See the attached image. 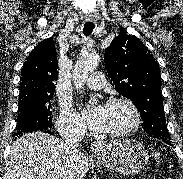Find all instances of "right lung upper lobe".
Wrapping results in <instances>:
<instances>
[{"label":"right lung upper lobe","mask_w":183,"mask_h":179,"mask_svg":"<svg viewBox=\"0 0 183 179\" xmlns=\"http://www.w3.org/2000/svg\"><path fill=\"white\" fill-rule=\"evenodd\" d=\"M58 61L53 38L40 42L21 71L19 100L52 96L58 78Z\"/></svg>","instance_id":"obj_1"}]
</instances>
